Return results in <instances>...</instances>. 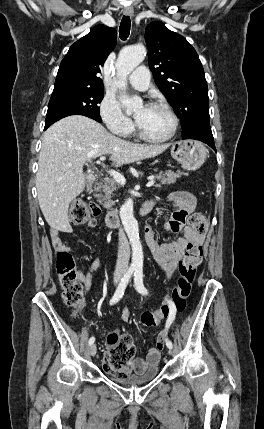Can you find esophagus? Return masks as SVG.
I'll use <instances>...</instances> for the list:
<instances>
[{
  "instance_id": "esophagus-1",
  "label": "esophagus",
  "mask_w": 264,
  "mask_h": 429,
  "mask_svg": "<svg viewBox=\"0 0 264 429\" xmlns=\"http://www.w3.org/2000/svg\"><path fill=\"white\" fill-rule=\"evenodd\" d=\"M123 12L126 16H133L134 14L132 7H126Z\"/></svg>"
}]
</instances>
